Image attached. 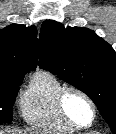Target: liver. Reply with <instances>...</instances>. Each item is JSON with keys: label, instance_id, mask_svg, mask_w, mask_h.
I'll list each match as a JSON object with an SVG mask.
<instances>
[{"label": "liver", "instance_id": "6515ba94", "mask_svg": "<svg viewBox=\"0 0 116 134\" xmlns=\"http://www.w3.org/2000/svg\"><path fill=\"white\" fill-rule=\"evenodd\" d=\"M0 134H35L32 131L0 130Z\"/></svg>", "mask_w": 116, "mask_h": 134}]
</instances>
